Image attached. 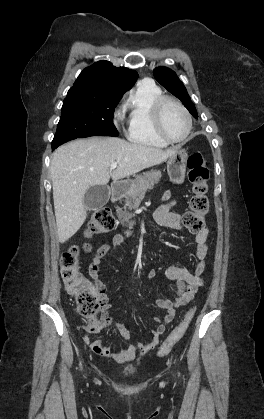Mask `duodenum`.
Wrapping results in <instances>:
<instances>
[{"instance_id":"410a0bca","label":"duodenum","mask_w":264,"mask_h":419,"mask_svg":"<svg viewBox=\"0 0 264 419\" xmlns=\"http://www.w3.org/2000/svg\"><path fill=\"white\" fill-rule=\"evenodd\" d=\"M123 187L121 184H113L111 187V198L112 200H117L122 195Z\"/></svg>"}]
</instances>
